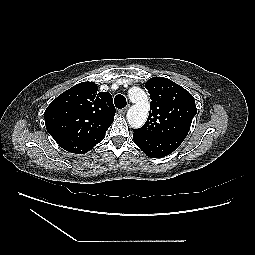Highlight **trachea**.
Listing matches in <instances>:
<instances>
[{"label":"trachea","mask_w":255,"mask_h":255,"mask_svg":"<svg viewBox=\"0 0 255 255\" xmlns=\"http://www.w3.org/2000/svg\"><path fill=\"white\" fill-rule=\"evenodd\" d=\"M114 104L118 109H122L127 105L126 98L123 95L118 94L115 96Z\"/></svg>","instance_id":"trachea-1"}]
</instances>
